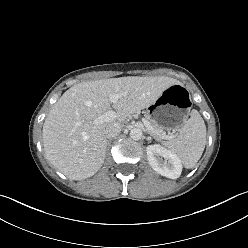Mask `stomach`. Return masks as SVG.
I'll return each instance as SVG.
<instances>
[{
	"label": "stomach",
	"mask_w": 248,
	"mask_h": 248,
	"mask_svg": "<svg viewBox=\"0 0 248 248\" xmlns=\"http://www.w3.org/2000/svg\"><path fill=\"white\" fill-rule=\"evenodd\" d=\"M190 109L188 90L182 84H174L147 107L146 116L162 129L174 132L186 123Z\"/></svg>",
	"instance_id": "1"
}]
</instances>
